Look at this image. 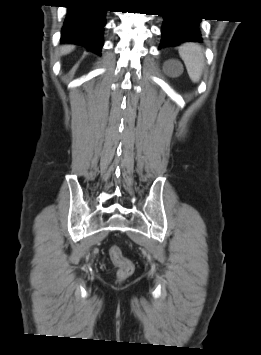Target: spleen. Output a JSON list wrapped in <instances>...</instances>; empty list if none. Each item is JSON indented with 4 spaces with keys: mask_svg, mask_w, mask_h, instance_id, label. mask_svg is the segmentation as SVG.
I'll use <instances>...</instances> for the list:
<instances>
[{
    "mask_svg": "<svg viewBox=\"0 0 261 355\" xmlns=\"http://www.w3.org/2000/svg\"><path fill=\"white\" fill-rule=\"evenodd\" d=\"M179 55L190 79L197 83L202 75L205 60L202 47L196 43H185L179 47Z\"/></svg>",
    "mask_w": 261,
    "mask_h": 355,
    "instance_id": "1",
    "label": "spleen"
}]
</instances>
